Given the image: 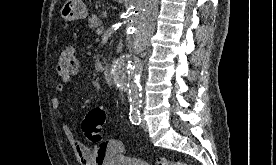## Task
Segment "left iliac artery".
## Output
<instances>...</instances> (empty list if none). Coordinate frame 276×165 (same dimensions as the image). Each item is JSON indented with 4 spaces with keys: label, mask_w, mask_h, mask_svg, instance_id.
Wrapping results in <instances>:
<instances>
[{
    "label": "left iliac artery",
    "mask_w": 276,
    "mask_h": 165,
    "mask_svg": "<svg viewBox=\"0 0 276 165\" xmlns=\"http://www.w3.org/2000/svg\"><path fill=\"white\" fill-rule=\"evenodd\" d=\"M140 109L141 101L131 100L129 118L130 121L135 125H139L141 123Z\"/></svg>",
    "instance_id": "obj_1"
}]
</instances>
